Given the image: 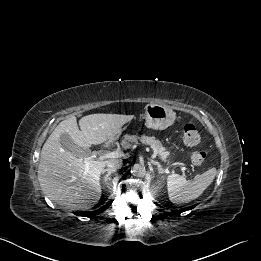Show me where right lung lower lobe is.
I'll return each instance as SVG.
<instances>
[{
	"mask_svg": "<svg viewBox=\"0 0 261 261\" xmlns=\"http://www.w3.org/2000/svg\"><path fill=\"white\" fill-rule=\"evenodd\" d=\"M111 201L105 205L104 207L98 209V210H95V211H90V212H76L75 214L78 215V216H84V217H91V216H95L103 211H105L110 205H111Z\"/></svg>",
	"mask_w": 261,
	"mask_h": 261,
	"instance_id": "1",
	"label": "right lung lower lobe"
}]
</instances>
